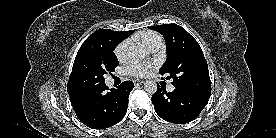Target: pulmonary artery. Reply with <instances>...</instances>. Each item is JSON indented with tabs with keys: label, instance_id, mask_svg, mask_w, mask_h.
<instances>
[{
	"label": "pulmonary artery",
	"instance_id": "pulmonary-artery-1",
	"mask_svg": "<svg viewBox=\"0 0 276 138\" xmlns=\"http://www.w3.org/2000/svg\"><path fill=\"white\" fill-rule=\"evenodd\" d=\"M160 48V46H155L151 49V51L155 52ZM174 90V86L173 85H169L168 86V91L172 92Z\"/></svg>",
	"mask_w": 276,
	"mask_h": 138
}]
</instances>
